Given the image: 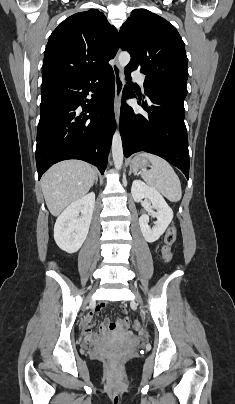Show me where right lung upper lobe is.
I'll return each mask as SVG.
<instances>
[{"label": "right lung upper lobe", "instance_id": "obj_1", "mask_svg": "<svg viewBox=\"0 0 235 404\" xmlns=\"http://www.w3.org/2000/svg\"><path fill=\"white\" fill-rule=\"evenodd\" d=\"M119 35L96 9L65 19L50 35L44 54L42 85L102 72L119 49Z\"/></svg>", "mask_w": 235, "mask_h": 404}]
</instances>
